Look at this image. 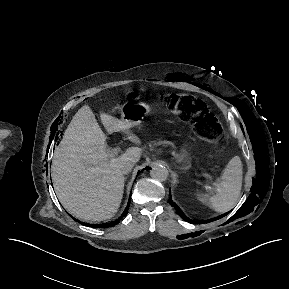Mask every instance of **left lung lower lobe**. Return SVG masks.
<instances>
[{
  "instance_id": "obj_1",
  "label": "left lung lower lobe",
  "mask_w": 289,
  "mask_h": 289,
  "mask_svg": "<svg viewBox=\"0 0 289 289\" xmlns=\"http://www.w3.org/2000/svg\"><path fill=\"white\" fill-rule=\"evenodd\" d=\"M169 202H170V204H171L172 206H174V208L176 209L177 213L179 214V216H180L181 218H183V219L186 220L187 222L196 223L195 221H193V220L189 219L187 216H185V215L183 214V212L181 211V209L178 207V205H176L175 203H173V201H172L171 198L169 199Z\"/></svg>"
}]
</instances>
